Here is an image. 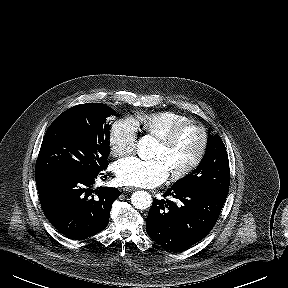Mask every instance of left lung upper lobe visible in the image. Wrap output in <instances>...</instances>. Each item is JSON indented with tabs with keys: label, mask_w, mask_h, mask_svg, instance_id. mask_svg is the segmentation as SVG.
<instances>
[{
	"label": "left lung upper lobe",
	"mask_w": 288,
	"mask_h": 288,
	"mask_svg": "<svg viewBox=\"0 0 288 288\" xmlns=\"http://www.w3.org/2000/svg\"><path fill=\"white\" fill-rule=\"evenodd\" d=\"M230 183L229 160L218 135L209 136L207 150L197 168L176 181L173 186L198 189L227 198Z\"/></svg>",
	"instance_id": "left-lung-upper-lobe-1"
}]
</instances>
